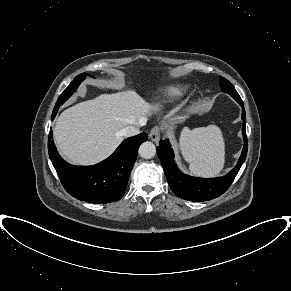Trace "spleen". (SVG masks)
I'll use <instances>...</instances> for the list:
<instances>
[{"instance_id":"spleen-1","label":"spleen","mask_w":291,"mask_h":291,"mask_svg":"<svg viewBox=\"0 0 291 291\" xmlns=\"http://www.w3.org/2000/svg\"><path fill=\"white\" fill-rule=\"evenodd\" d=\"M180 149L195 175L213 177L224 167L225 142L218 126L194 130L184 128L180 136Z\"/></svg>"}]
</instances>
